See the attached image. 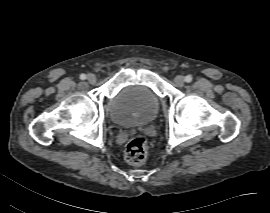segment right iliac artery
<instances>
[{
	"mask_svg": "<svg viewBox=\"0 0 270 213\" xmlns=\"http://www.w3.org/2000/svg\"><path fill=\"white\" fill-rule=\"evenodd\" d=\"M80 79H81V80H85V79H86V75H85V74H81V75H80Z\"/></svg>",
	"mask_w": 270,
	"mask_h": 213,
	"instance_id": "82829eb1",
	"label": "right iliac artery"
}]
</instances>
